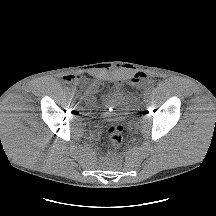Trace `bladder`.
<instances>
[{
    "mask_svg": "<svg viewBox=\"0 0 216 216\" xmlns=\"http://www.w3.org/2000/svg\"><path fill=\"white\" fill-rule=\"evenodd\" d=\"M84 102L94 119L100 122H108L114 118L124 121L130 118L133 112L132 101L123 92L110 91L104 96H96V92L90 90L84 95Z\"/></svg>",
    "mask_w": 216,
    "mask_h": 216,
    "instance_id": "obj_1",
    "label": "bladder"
}]
</instances>
